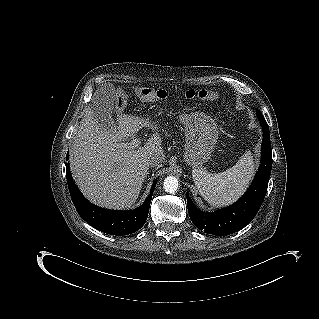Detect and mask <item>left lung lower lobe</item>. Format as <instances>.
Returning <instances> with one entry per match:
<instances>
[{
    "instance_id": "left-lung-lower-lobe-1",
    "label": "left lung lower lobe",
    "mask_w": 319,
    "mask_h": 319,
    "mask_svg": "<svg viewBox=\"0 0 319 319\" xmlns=\"http://www.w3.org/2000/svg\"><path fill=\"white\" fill-rule=\"evenodd\" d=\"M258 116V115H257ZM264 136L261 147V164L244 196L234 204L213 213L199 210L187 194L188 212L192 223L212 235H228L244 228L257 214L265 194L272 166L269 127L263 116H258Z\"/></svg>"
}]
</instances>
